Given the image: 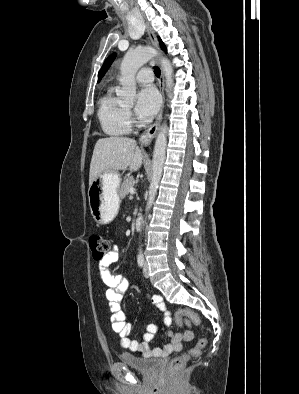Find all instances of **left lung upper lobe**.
Here are the masks:
<instances>
[{"mask_svg":"<svg viewBox=\"0 0 299 394\" xmlns=\"http://www.w3.org/2000/svg\"><path fill=\"white\" fill-rule=\"evenodd\" d=\"M159 42H160V46L161 48L166 51V47L164 45V43L161 41V39L159 38ZM116 54H112L110 55L106 61L104 62V64L101 67L100 73H99V80L103 77V75L105 74V72L108 70V68L110 67V65L112 64L113 60L115 59Z\"/></svg>","mask_w":299,"mask_h":394,"instance_id":"obj_1","label":"left lung upper lobe"}]
</instances>
